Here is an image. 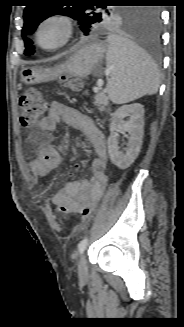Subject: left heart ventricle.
Listing matches in <instances>:
<instances>
[{"mask_svg":"<svg viewBox=\"0 0 184 327\" xmlns=\"http://www.w3.org/2000/svg\"><path fill=\"white\" fill-rule=\"evenodd\" d=\"M63 34V26L58 22H51L42 28L40 40L45 46H53L61 41Z\"/></svg>","mask_w":184,"mask_h":327,"instance_id":"left-heart-ventricle-1","label":"left heart ventricle"}]
</instances>
